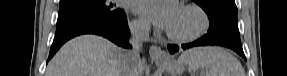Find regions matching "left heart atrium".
<instances>
[{
  "label": "left heart atrium",
  "instance_id": "left-heart-atrium-1",
  "mask_svg": "<svg viewBox=\"0 0 287 76\" xmlns=\"http://www.w3.org/2000/svg\"><path fill=\"white\" fill-rule=\"evenodd\" d=\"M133 10L158 27L168 30L177 16L179 7L173 0H136Z\"/></svg>",
  "mask_w": 287,
  "mask_h": 76
}]
</instances>
